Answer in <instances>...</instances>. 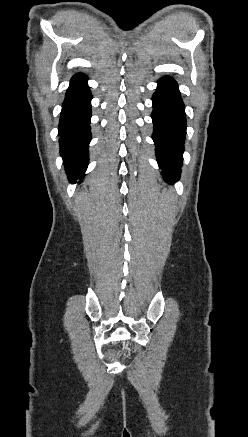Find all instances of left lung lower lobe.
<instances>
[{
	"mask_svg": "<svg viewBox=\"0 0 248 437\" xmlns=\"http://www.w3.org/2000/svg\"><path fill=\"white\" fill-rule=\"evenodd\" d=\"M152 103L157 161L165 180L172 183L180 176L186 133L185 107L176 81L167 76L160 79Z\"/></svg>",
	"mask_w": 248,
	"mask_h": 437,
	"instance_id": "left-lung-lower-lobe-1",
	"label": "left lung lower lobe"
}]
</instances>
